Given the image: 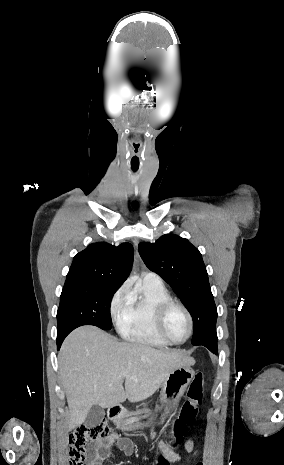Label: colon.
I'll use <instances>...</instances> for the list:
<instances>
[{"label": "colon", "instance_id": "1", "mask_svg": "<svg viewBox=\"0 0 284 465\" xmlns=\"http://www.w3.org/2000/svg\"><path fill=\"white\" fill-rule=\"evenodd\" d=\"M188 400L184 403L183 411L178 416L179 421H175L169 426L167 435L169 438H189L190 430H194L195 423L192 413L197 411V406H201L204 402V376L197 372L193 375L190 386L188 388ZM107 426L98 422L87 427L81 428L72 434L70 437V462L69 465H83L84 447L92 441H97L107 436ZM172 448H184L186 441L184 439H172L169 442ZM158 465H167L166 462L160 460ZM197 465H202V462H197Z\"/></svg>", "mask_w": 284, "mask_h": 465}]
</instances>
